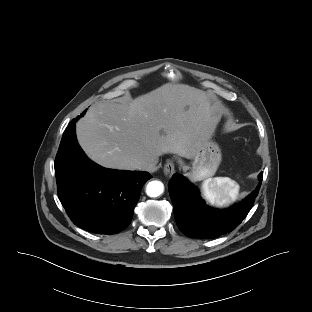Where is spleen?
Instances as JSON below:
<instances>
[{
	"instance_id": "1",
	"label": "spleen",
	"mask_w": 312,
	"mask_h": 312,
	"mask_svg": "<svg viewBox=\"0 0 312 312\" xmlns=\"http://www.w3.org/2000/svg\"><path fill=\"white\" fill-rule=\"evenodd\" d=\"M204 198L212 205L227 206L239 194V185L229 177H216L205 180L201 186Z\"/></svg>"
}]
</instances>
